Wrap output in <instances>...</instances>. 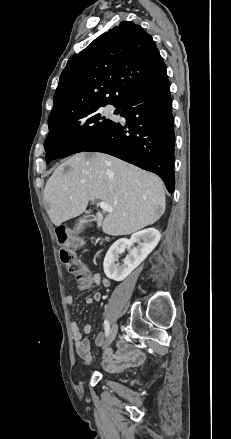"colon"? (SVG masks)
<instances>
[{
    "instance_id": "5ec220e1",
    "label": "colon",
    "mask_w": 231,
    "mask_h": 439,
    "mask_svg": "<svg viewBox=\"0 0 231 439\" xmlns=\"http://www.w3.org/2000/svg\"><path fill=\"white\" fill-rule=\"evenodd\" d=\"M56 238L59 246L60 261L67 267L69 273L76 277L80 289L89 288L91 285V274L87 267L77 259L73 250L74 248L84 246V243H80V236H69L67 228L58 227L56 229Z\"/></svg>"
}]
</instances>
